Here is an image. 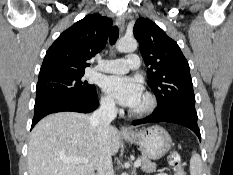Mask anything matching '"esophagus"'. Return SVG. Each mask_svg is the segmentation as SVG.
<instances>
[{
  "instance_id": "34e87169",
  "label": "esophagus",
  "mask_w": 233,
  "mask_h": 175,
  "mask_svg": "<svg viewBox=\"0 0 233 175\" xmlns=\"http://www.w3.org/2000/svg\"><path fill=\"white\" fill-rule=\"evenodd\" d=\"M116 24L118 25V27L121 31L124 30L125 20L123 17H121V16L117 17ZM120 133L123 135H129V134H131V130L127 126L123 125L120 128Z\"/></svg>"
}]
</instances>
